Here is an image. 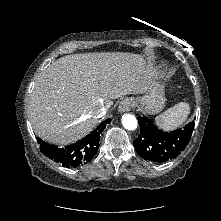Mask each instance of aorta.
<instances>
[{
    "mask_svg": "<svg viewBox=\"0 0 221 221\" xmlns=\"http://www.w3.org/2000/svg\"><path fill=\"white\" fill-rule=\"evenodd\" d=\"M122 124L125 129L135 130L137 128V120L134 115L126 114L122 117Z\"/></svg>",
    "mask_w": 221,
    "mask_h": 221,
    "instance_id": "1",
    "label": "aorta"
}]
</instances>
